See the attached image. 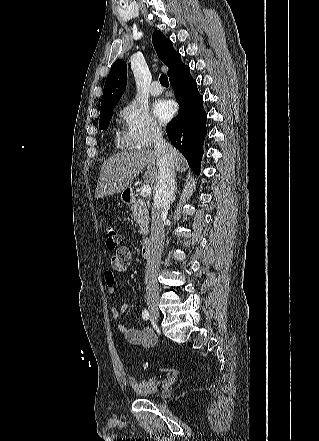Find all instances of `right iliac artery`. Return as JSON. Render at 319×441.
Returning <instances> with one entry per match:
<instances>
[{"instance_id": "1", "label": "right iliac artery", "mask_w": 319, "mask_h": 441, "mask_svg": "<svg viewBox=\"0 0 319 441\" xmlns=\"http://www.w3.org/2000/svg\"><path fill=\"white\" fill-rule=\"evenodd\" d=\"M142 317L145 321H147L150 317L148 310L144 309L142 312Z\"/></svg>"}]
</instances>
